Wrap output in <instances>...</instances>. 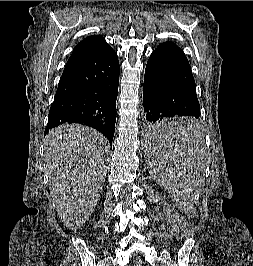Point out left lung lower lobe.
I'll use <instances>...</instances> for the list:
<instances>
[{"label": "left lung lower lobe", "mask_w": 253, "mask_h": 266, "mask_svg": "<svg viewBox=\"0 0 253 266\" xmlns=\"http://www.w3.org/2000/svg\"><path fill=\"white\" fill-rule=\"evenodd\" d=\"M143 105L150 140L187 138L200 117L190 64L176 44L164 42L151 54L145 69ZM189 116L170 122L168 118Z\"/></svg>", "instance_id": "1"}]
</instances>
